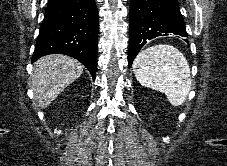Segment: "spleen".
I'll use <instances>...</instances> for the list:
<instances>
[{
    "mask_svg": "<svg viewBox=\"0 0 227 166\" xmlns=\"http://www.w3.org/2000/svg\"><path fill=\"white\" fill-rule=\"evenodd\" d=\"M133 72L141 85L164 93L173 106L182 105L190 91L188 61L173 46L156 45L141 51Z\"/></svg>",
    "mask_w": 227,
    "mask_h": 166,
    "instance_id": "3e777b00",
    "label": "spleen"
}]
</instances>
